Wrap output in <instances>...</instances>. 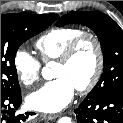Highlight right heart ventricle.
Returning a JSON list of instances; mask_svg holds the SVG:
<instances>
[{"label": "right heart ventricle", "mask_w": 123, "mask_h": 123, "mask_svg": "<svg viewBox=\"0 0 123 123\" xmlns=\"http://www.w3.org/2000/svg\"><path fill=\"white\" fill-rule=\"evenodd\" d=\"M81 33L83 31L76 27L53 28L48 30L35 43L42 61H57L67 45Z\"/></svg>", "instance_id": "1"}]
</instances>
